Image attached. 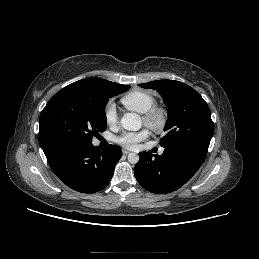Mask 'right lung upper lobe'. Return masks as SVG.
I'll return each mask as SVG.
<instances>
[{
    "label": "right lung upper lobe",
    "instance_id": "cb5924a9",
    "mask_svg": "<svg viewBox=\"0 0 259 259\" xmlns=\"http://www.w3.org/2000/svg\"><path fill=\"white\" fill-rule=\"evenodd\" d=\"M111 83L113 82H110L101 78H87V79L74 82L68 85L67 87L75 88L79 90H97L103 86H108Z\"/></svg>",
    "mask_w": 259,
    "mask_h": 259
}]
</instances>
